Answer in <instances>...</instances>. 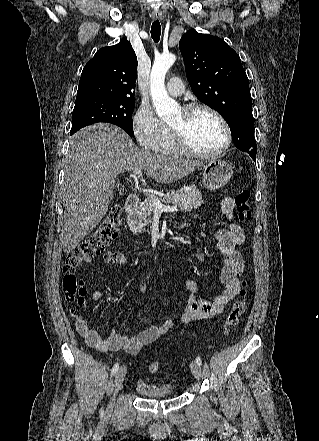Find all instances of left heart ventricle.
I'll use <instances>...</instances> for the list:
<instances>
[{"mask_svg": "<svg viewBox=\"0 0 319 441\" xmlns=\"http://www.w3.org/2000/svg\"><path fill=\"white\" fill-rule=\"evenodd\" d=\"M183 123V113L179 111L170 121V125L179 126ZM185 137L194 149L211 152L219 149L225 142V132L221 123L210 113H195L185 126Z\"/></svg>", "mask_w": 319, "mask_h": 441, "instance_id": "left-heart-ventricle-1", "label": "left heart ventricle"}]
</instances>
